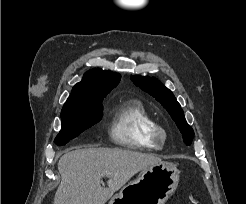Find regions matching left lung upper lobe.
<instances>
[{"label":"left lung upper lobe","instance_id":"1","mask_svg":"<svg viewBox=\"0 0 246 204\" xmlns=\"http://www.w3.org/2000/svg\"><path fill=\"white\" fill-rule=\"evenodd\" d=\"M131 80L136 86L149 93L162 104L182 133L184 143L186 145H190L193 139L194 131L187 124L181 106L175 99L173 93L160 81L153 77L150 78L135 75L131 76Z\"/></svg>","mask_w":246,"mask_h":204}]
</instances>
